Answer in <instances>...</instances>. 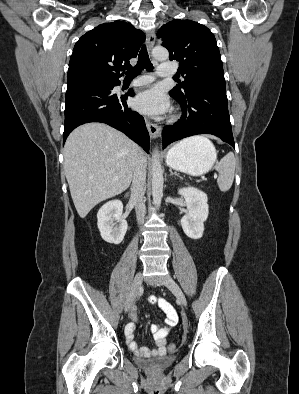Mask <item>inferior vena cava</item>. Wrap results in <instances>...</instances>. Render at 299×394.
Here are the masks:
<instances>
[{"label": "inferior vena cava", "mask_w": 299, "mask_h": 394, "mask_svg": "<svg viewBox=\"0 0 299 394\" xmlns=\"http://www.w3.org/2000/svg\"><path fill=\"white\" fill-rule=\"evenodd\" d=\"M145 181H146V161L140 153L136 158L133 172V180L131 187V200L135 204V211L138 224L144 223L146 214V207L144 204L145 195Z\"/></svg>", "instance_id": "1"}]
</instances>
